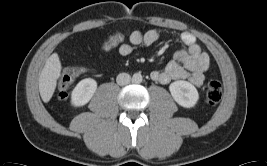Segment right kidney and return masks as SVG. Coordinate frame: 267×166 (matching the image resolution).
Returning <instances> with one entry per match:
<instances>
[{"mask_svg":"<svg viewBox=\"0 0 267 166\" xmlns=\"http://www.w3.org/2000/svg\"><path fill=\"white\" fill-rule=\"evenodd\" d=\"M97 89V82L92 78L81 80L73 89L71 103L75 107L87 104Z\"/></svg>","mask_w":267,"mask_h":166,"instance_id":"1","label":"right kidney"}]
</instances>
